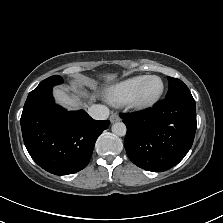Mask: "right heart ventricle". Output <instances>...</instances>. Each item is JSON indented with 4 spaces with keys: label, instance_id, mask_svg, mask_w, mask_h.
I'll use <instances>...</instances> for the list:
<instances>
[{
    "label": "right heart ventricle",
    "instance_id": "e07e8e85",
    "mask_svg": "<svg viewBox=\"0 0 223 223\" xmlns=\"http://www.w3.org/2000/svg\"><path fill=\"white\" fill-rule=\"evenodd\" d=\"M144 75L129 77L114 85L107 91V100L114 106L124 105L129 97L136 91Z\"/></svg>",
    "mask_w": 223,
    "mask_h": 223
}]
</instances>
